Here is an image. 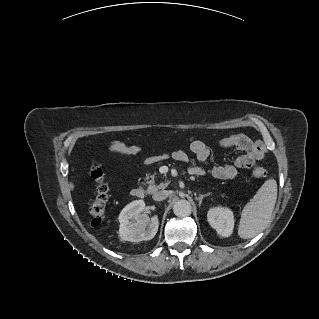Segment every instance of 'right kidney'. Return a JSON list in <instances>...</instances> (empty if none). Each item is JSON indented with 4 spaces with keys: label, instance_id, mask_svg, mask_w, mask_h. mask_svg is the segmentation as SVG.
I'll return each instance as SVG.
<instances>
[{
    "label": "right kidney",
    "instance_id": "obj_1",
    "mask_svg": "<svg viewBox=\"0 0 319 319\" xmlns=\"http://www.w3.org/2000/svg\"><path fill=\"white\" fill-rule=\"evenodd\" d=\"M145 202L135 200L124 207L119 215V236L122 240L140 242L151 240L158 231V216L143 214Z\"/></svg>",
    "mask_w": 319,
    "mask_h": 319
}]
</instances>
